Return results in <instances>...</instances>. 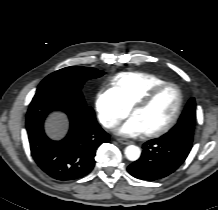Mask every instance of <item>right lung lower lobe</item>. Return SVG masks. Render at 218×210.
<instances>
[{
	"instance_id": "98d812e1",
	"label": "right lung lower lobe",
	"mask_w": 218,
	"mask_h": 210,
	"mask_svg": "<svg viewBox=\"0 0 218 210\" xmlns=\"http://www.w3.org/2000/svg\"><path fill=\"white\" fill-rule=\"evenodd\" d=\"M54 110L65 112L70 120L69 132L61 141L49 139L44 132L45 118ZM26 128L35 162L50 177L61 181L87 175L95 165L97 148L109 140L91 107L59 98L33 99L26 115Z\"/></svg>"
}]
</instances>
